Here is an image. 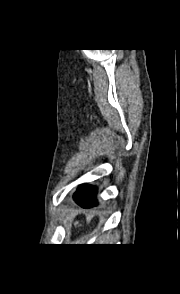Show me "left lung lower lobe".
<instances>
[{
	"label": "left lung lower lobe",
	"instance_id": "0a47b994",
	"mask_svg": "<svg viewBox=\"0 0 180 294\" xmlns=\"http://www.w3.org/2000/svg\"><path fill=\"white\" fill-rule=\"evenodd\" d=\"M74 199L83 208H89L94 206L95 203V192L91 187L81 185L79 190L75 193Z\"/></svg>",
	"mask_w": 180,
	"mask_h": 294
}]
</instances>
